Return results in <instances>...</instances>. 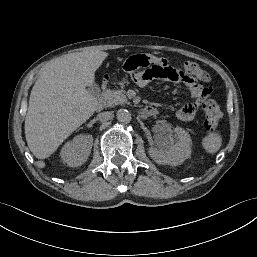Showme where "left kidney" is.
Instances as JSON below:
<instances>
[{"label":"left kidney","instance_id":"obj_1","mask_svg":"<svg viewBox=\"0 0 257 257\" xmlns=\"http://www.w3.org/2000/svg\"><path fill=\"white\" fill-rule=\"evenodd\" d=\"M174 132L178 138L176 144L170 145L168 135L161 132L156 137L157 147L149 148V155L156 163L176 166L191 156L192 140L189 133L181 127H176Z\"/></svg>","mask_w":257,"mask_h":257}]
</instances>
